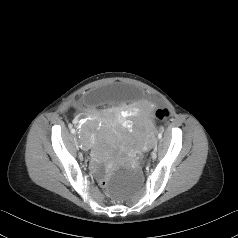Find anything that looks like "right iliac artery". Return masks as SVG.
<instances>
[{
  "label": "right iliac artery",
  "mask_w": 238,
  "mask_h": 238,
  "mask_svg": "<svg viewBox=\"0 0 238 238\" xmlns=\"http://www.w3.org/2000/svg\"><path fill=\"white\" fill-rule=\"evenodd\" d=\"M76 131L74 128H71V133L74 134Z\"/></svg>",
  "instance_id": "right-iliac-artery-1"
}]
</instances>
